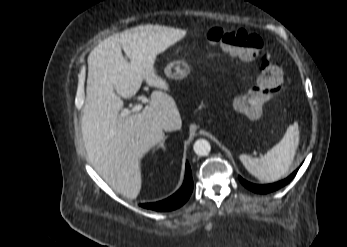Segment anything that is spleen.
Wrapping results in <instances>:
<instances>
[{"instance_id":"3e777b00","label":"spleen","mask_w":347,"mask_h":247,"mask_svg":"<svg viewBox=\"0 0 347 247\" xmlns=\"http://www.w3.org/2000/svg\"><path fill=\"white\" fill-rule=\"evenodd\" d=\"M300 131L298 122L290 125L282 140L261 158L240 155V161L247 171L257 179L272 182L285 175L292 165L298 149Z\"/></svg>"}]
</instances>
